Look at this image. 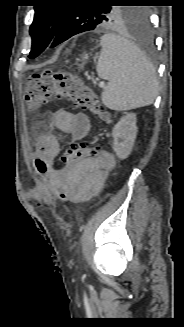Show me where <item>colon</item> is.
Listing matches in <instances>:
<instances>
[{
  "label": "colon",
  "mask_w": 184,
  "mask_h": 327,
  "mask_svg": "<svg viewBox=\"0 0 184 327\" xmlns=\"http://www.w3.org/2000/svg\"><path fill=\"white\" fill-rule=\"evenodd\" d=\"M54 98L71 101L77 108L92 112L104 122L110 120L109 114L94 91L79 76L65 71L45 70L29 78L24 92L28 109H38ZM69 150L71 152L77 151L80 155L85 156H92L97 153V148L87 142L74 144ZM38 167L47 183L52 185L55 198L58 201L63 203L78 202L58 185L53 166L50 163L39 160Z\"/></svg>",
  "instance_id": "obj_1"
}]
</instances>
